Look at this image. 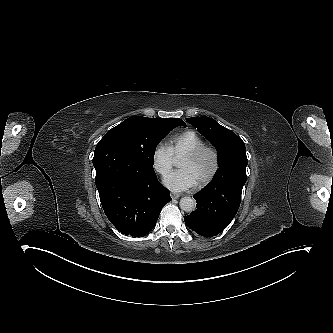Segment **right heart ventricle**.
<instances>
[{
    "instance_id": "obj_1",
    "label": "right heart ventricle",
    "mask_w": 333,
    "mask_h": 333,
    "mask_svg": "<svg viewBox=\"0 0 333 333\" xmlns=\"http://www.w3.org/2000/svg\"><path fill=\"white\" fill-rule=\"evenodd\" d=\"M203 145L201 138L193 131H187L177 136L170 145V151L177 160Z\"/></svg>"
}]
</instances>
